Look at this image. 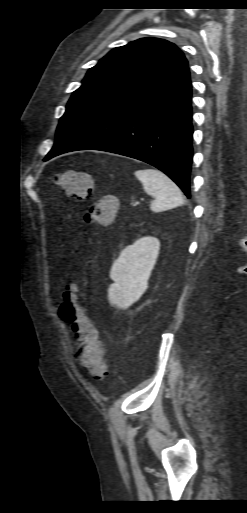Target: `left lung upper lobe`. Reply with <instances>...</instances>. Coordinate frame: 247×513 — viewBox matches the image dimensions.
Returning a JSON list of instances; mask_svg holds the SVG:
<instances>
[{"instance_id": "obj_1", "label": "left lung upper lobe", "mask_w": 247, "mask_h": 513, "mask_svg": "<svg viewBox=\"0 0 247 513\" xmlns=\"http://www.w3.org/2000/svg\"><path fill=\"white\" fill-rule=\"evenodd\" d=\"M188 66L171 42L142 38L111 50L89 69L61 117L53 148L96 119L144 95Z\"/></svg>"}]
</instances>
